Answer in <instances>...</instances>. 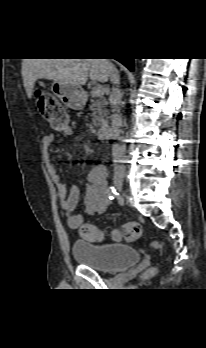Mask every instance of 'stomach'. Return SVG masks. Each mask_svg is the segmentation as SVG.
Here are the masks:
<instances>
[{"mask_svg": "<svg viewBox=\"0 0 206 348\" xmlns=\"http://www.w3.org/2000/svg\"><path fill=\"white\" fill-rule=\"evenodd\" d=\"M51 91L64 105L71 109L81 110L85 105L86 95L81 87L53 81Z\"/></svg>", "mask_w": 206, "mask_h": 348, "instance_id": "1", "label": "stomach"}]
</instances>
